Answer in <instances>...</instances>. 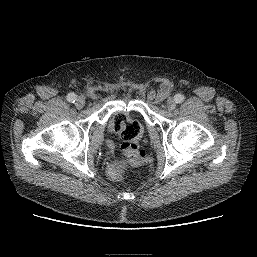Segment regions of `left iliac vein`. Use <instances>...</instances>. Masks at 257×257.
I'll use <instances>...</instances> for the list:
<instances>
[{"mask_svg":"<svg viewBox=\"0 0 257 257\" xmlns=\"http://www.w3.org/2000/svg\"><path fill=\"white\" fill-rule=\"evenodd\" d=\"M176 107V102L174 99L172 98H169L166 102V108L169 110V111H172L174 110Z\"/></svg>","mask_w":257,"mask_h":257,"instance_id":"obj_1","label":"left iliac vein"}]
</instances>
